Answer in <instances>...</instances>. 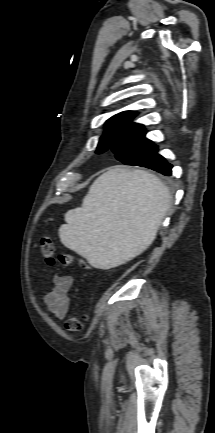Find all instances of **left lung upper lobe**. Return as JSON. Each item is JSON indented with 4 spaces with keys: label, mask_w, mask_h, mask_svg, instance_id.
<instances>
[{
    "label": "left lung upper lobe",
    "mask_w": 215,
    "mask_h": 433,
    "mask_svg": "<svg viewBox=\"0 0 215 433\" xmlns=\"http://www.w3.org/2000/svg\"><path fill=\"white\" fill-rule=\"evenodd\" d=\"M135 115L132 111H124L108 119L96 153L111 150L126 165L136 164L157 169L164 158L157 153L158 147L145 138L144 126L131 122Z\"/></svg>",
    "instance_id": "1"
}]
</instances>
